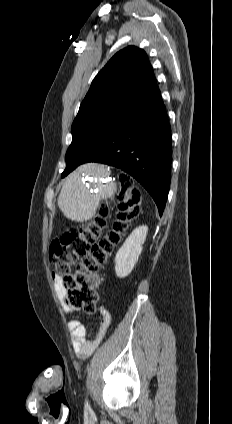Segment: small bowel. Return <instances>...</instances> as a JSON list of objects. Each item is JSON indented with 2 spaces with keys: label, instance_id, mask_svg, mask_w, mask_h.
Masks as SVG:
<instances>
[{
  "label": "small bowel",
  "instance_id": "obj_1",
  "mask_svg": "<svg viewBox=\"0 0 232 424\" xmlns=\"http://www.w3.org/2000/svg\"><path fill=\"white\" fill-rule=\"evenodd\" d=\"M56 290L59 294H63V288L59 282L55 284ZM100 321L97 331L92 337H89L87 330L79 318L72 319L68 322V329L71 335V344L80 358L88 357L94 349L104 339L108 327L111 323V315L106 308L99 309Z\"/></svg>",
  "mask_w": 232,
  "mask_h": 424
}]
</instances>
